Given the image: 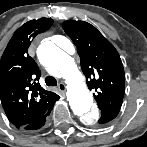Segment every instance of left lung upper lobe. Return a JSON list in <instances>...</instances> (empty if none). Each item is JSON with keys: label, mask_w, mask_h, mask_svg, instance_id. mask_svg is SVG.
Wrapping results in <instances>:
<instances>
[{"label": "left lung upper lobe", "mask_w": 147, "mask_h": 147, "mask_svg": "<svg viewBox=\"0 0 147 147\" xmlns=\"http://www.w3.org/2000/svg\"><path fill=\"white\" fill-rule=\"evenodd\" d=\"M80 56L87 86L101 111L119 108L125 92V73L114 46L91 24L68 20L62 24Z\"/></svg>", "instance_id": "5c2ea615"}]
</instances>
